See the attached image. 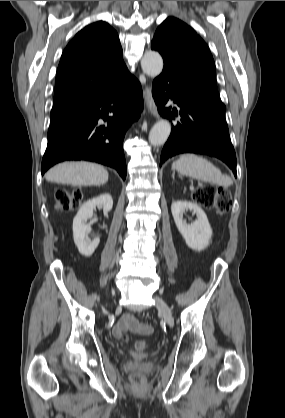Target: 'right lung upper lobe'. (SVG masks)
Returning <instances> with one entry per match:
<instances>
[{
  "label": "right lung upper lobe",
  "instance_id": "right-lung-upper-lobe-1",
  "mask_svg": "<svg viewBox=\"0 0 285 418\" xmlns=\"http://www.w3.org/2000/svg\"><path fill=\"white\" fill-rule=\"evenodd\" d=\"M130 75L117 32L103 21L89 24L63 51L52 109L80 106L119 86Z\"/></svg>",
  "mask_w": 285,
  "mask_h": 418
}]
</instances>
